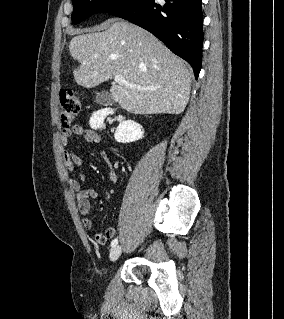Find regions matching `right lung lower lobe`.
I'll use <instances>...</instances> for the list:
<instances>
[{"label": "right lung lower lobe", "mask_w": 284, "mask_h": 319, "mask_svg": "<svg viewBox=\"0 0 284 319\" xmlns=\"http://www.w3.org/2000/svg\"><path fill=\"white\" fill-rule=\"evenodd\" d=\"M202 0H131L108 13L154 34L186 60L197 79L202 62Z\"/></svg>", "instance_id": "98d812e1"}]
</instances>
